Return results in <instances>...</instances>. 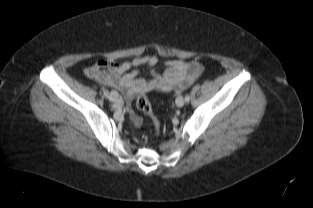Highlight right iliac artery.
<instances>
[{
  "label": "right iliac artery",
  "instance_id": "82829eb1",
  "mask_svg": "<svg viewBox=\"0 0 313 208\" xmlns=\"http://www.w3.org/2000/svg\"><path fill=\"white\" fill-rule=\"evenodd\" d=\"M104 95L106 96V97H108L109 96V92L106 90V91H104Z\"/></svg>",
  "mask_w": 313,
  "mask_h": 208
}]
</instances>
